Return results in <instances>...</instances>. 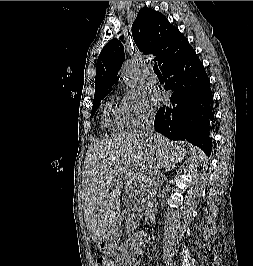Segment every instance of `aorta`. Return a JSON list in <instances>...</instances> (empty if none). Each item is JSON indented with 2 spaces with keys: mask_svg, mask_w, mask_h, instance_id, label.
Instances as JSON below:
<instances>
[{
  "mask_svg": "<svg viewBox=\"0 0 253 266\" xmlns=\"http://www.w3.org/2000/svg\"><path fill=\"white\" fill-rule=\"evenodd\" d=\"M120 76L123 79L126 86L134 88L137 85V80L135 78V68L132 62L127 61L123 64Z\"/></svg>",
  "mask_w": 253,
  "mask_h": 266,
  "instance_id": "aorta-1",
  "label": "aorta"
}]
</instances>
